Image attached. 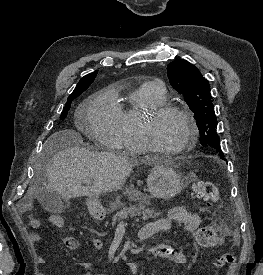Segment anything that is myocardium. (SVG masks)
<instances>
[{
  "instance_id": "f54148a6",
  "label": "myocardium",
  "mask_w": 263,
  "mask_h": 275,
  "mask_svg": "<svg viewBox=\"0 0 263 275\" xmlns=\"http://www.w3.org/2000/svg\"><path fill=\"white\" fill-rule=\"evenodd\" d=\"M175 114L183 117L189 125V134L185 142L176 149L159 147L152 136V124L158 118ZM141 135L148 151L162 156H176L191 149L199 135V128L194 115L187 109L172 104H161L149 109L141 120Z\"/></svg>"
}]
</instances>
